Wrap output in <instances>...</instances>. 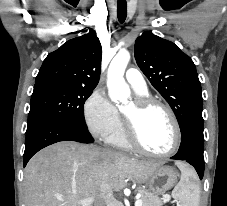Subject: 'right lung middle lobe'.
Wrapping results in <instances>:
<instances>
[{"label":"right lung middle lobe","mask_w":227,"mask_h":206,"mask_svg":"<svg viewBox=\"0 0 227 206\" xmlns=\"http://www.w3.org/2000/svg\"><path fill=\"white\" fill-rule=\"evenodd\" d=\"M93 90L54 82L35 84L28 126L44 119L63 120L83 126V105Z\"/></svg>","instance_id":"right-lung-middle-lobe-1"}]
</instances>
